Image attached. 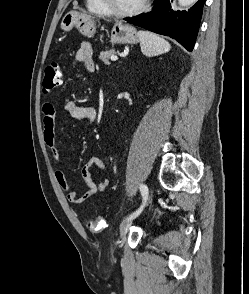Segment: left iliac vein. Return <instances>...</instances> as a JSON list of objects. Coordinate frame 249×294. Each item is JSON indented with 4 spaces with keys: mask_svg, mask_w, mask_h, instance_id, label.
<instances>
[{
    "mask_svg": "<svg viewBox=\"0 0 249 294\" xmlns=\"http://www.w3.org/2000/svg\"><path fill=\"white\" fill-rule=\"evenodd\" d=\"M132 225V219L124 221L120 226V238L124 239L127 232L129 231L130 226Z\"/></svg>",
    "mask_w": 249,
    "mask_h": 294,
    "instance_id": "1",
    "label": "left iliac vein"
}]
</instances>
